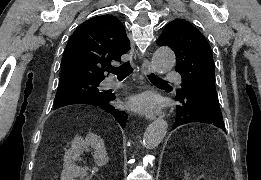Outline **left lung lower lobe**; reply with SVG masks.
I'll use <instances>...</instances> for the list:
<instances>
[{
    "mask_svg": "<svg viewBox=\"0 0 261 180\" xmlns=\"http://www.w3.org/2000/svg\"><path fill=\"white\" fill-rule=\"evenodd\" d=\"M176 100L178 105L173 129L191 122H202L225 131L217 97L205 94L193 84L184 83Z\"/></svg>",
    "mask_w": 261,
    "mask_h": 180,
    "instance_id": "0a47b994",
    "label": "left lung lower lobe"
}]
</instances>
